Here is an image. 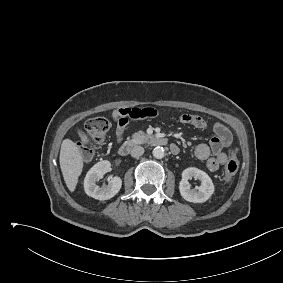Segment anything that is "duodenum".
Returning <instances> with one entry per match:
<instances>
[{"instance_id": "obj_1", "label": "duodenum", "mask_w": 283, "mask_h": 283, "mask_svg": "<svg viewBox=\"0 0 283 283\" xmlns=\"http://www.w3.org/2000/svg\"><path fill=\"white\" fill-rule=\"evenodd\" d=\"M149 143L154 146H166L168 144V140L164 137L153 136L149 139ZM136 143L134 141H127L121 144L118 147V154L120 156H126L130 153V151L135 147ZM170 150L173 154H177L179 152V148L175 144L170 145Z\"/></svg>"}]
</instances>
